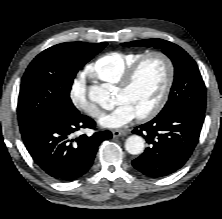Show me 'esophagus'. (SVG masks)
<instances>
[{"label":"esophagus","instance_id":"1","mask_svg":"<svg viewBox=\"0 0 222 219\" xmlns=\"http://www.w3.org/2000/svg\"><path fill=\"white\" fill-rule=\"evenodd\" d=\"M127 134H129V130H113L112 131V135L113 137H120V136H126Z\"/></svg>","mask_w":222,"mask_h":219}]
</instances>
